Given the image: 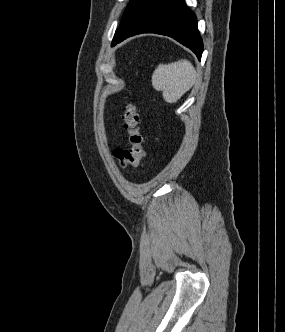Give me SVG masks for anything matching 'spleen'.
<instances>
[{
    "label": "spleen",
    "instance_id": "3e777b00",
    "mask_svg": "<svg viewBox=\"0 0 285 332\" xmlns=\"http://www.w3.org/2000/svg\"><path fill=\"white\" fill-rule=\"evenodd\" d=\"M196 71L186 59L169 64H159L152 75V85L162 91L168 103H175L195 83Z\"/></svg>",
    "mask_w": 285,
    "mask_h": 332
}]
</instances>
